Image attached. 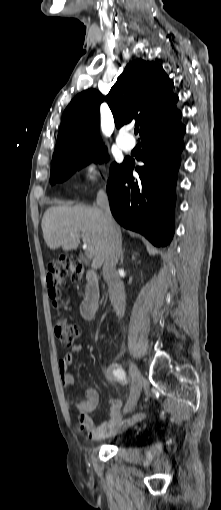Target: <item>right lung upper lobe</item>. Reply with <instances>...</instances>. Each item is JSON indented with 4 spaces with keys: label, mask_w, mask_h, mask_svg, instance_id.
Here are the masks:
<instances>
[{
    "label": "right lung upper lobe",
    "mask_w": 221,
    "mask_h": 510,
    "mask_svg": "<svg viewBox=\"0 0 221 510\" xmlns=\"http://www.w3.org/2000/svg\"><path fill=\"white\" fill-rule=\"evenodd\" d=\"M173 81L156 62H130L105 97L116 127L135 122L140 137L181 118ZM104 98L90 89L78 94L63 113L53 159L77 148L99 145V106Z\"/></svg>",
    "instance_id": "right-lung-upper-lobe-1"
}]
</instances>
